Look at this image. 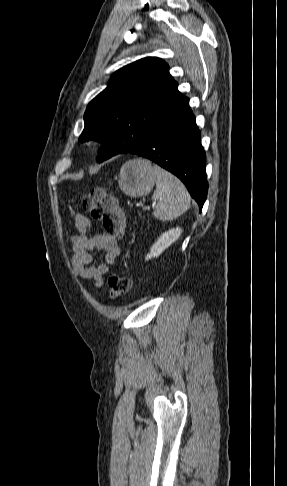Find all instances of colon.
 I'll return each instance as SVG.
<instances>
[{"label": "colon", "mask_w": 287, "mask_h": 486, "mask_svg": "<svg viewBox=\"0 0 287 486\" xmlns=\"http://www.w3.org/2000/svg\"><path fill=\"white\" fill-rule=\"evenodd\" d=\"M82 204L92 218L102 224L106 234L116 238L123 237L126 218L115 197L108 195L101 187H94L83 195ZM131 285L132 281L128 276L112 275L108 280V294L111 298H119L130 290Z\"/></svg>", "instance_id": "5ec220e1"}]
</instances>
